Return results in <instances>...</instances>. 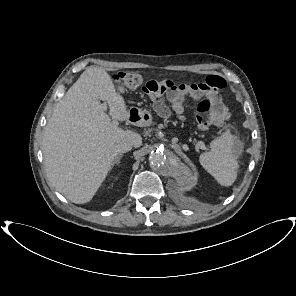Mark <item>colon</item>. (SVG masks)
Instances as JSON below:
<instances>
[{"label":"colon","mask_w":296,"mask_h":296,"mask_svg":"<svg viewBox=\"0 0 296 296\" xmlns=\"http://www.w3.org/2000/svg\"><path fill=\"white\" fill-rule=\"evenodd\" d=\"M116 86L119 91L126 92L139 88L142 84V78L135 72H119L114 77ZM190 84L180 85L182 88L188 87ZM156 89V87H153ZM226 112L220 102L216 99H202L196 109V119L198 127L201 131H208L213 123L222 122Z\"/></svg>","instance_id":"5ec220e1"}]
</instances>
